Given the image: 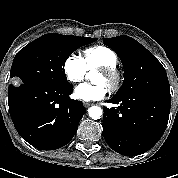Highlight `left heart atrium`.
Listing matches in <instances>:
<instances>
[{"instance_id": "left-heart-atrium-1", "label": "left heart atrium", "mask_w": 178, "mask_h": 178, "mask_svg": "<svg viewBox=\"0 0 178 178\" xmlns=\"http://www.w3.org/2000/svg\"><path fill=\"white\" fill-rule=\"evenodd\" d=\"M108 93V87L103 83L87 84L83 83L75 88L74 94L82 101H97L104 98Z\"/></svg>"}]
</instances>
